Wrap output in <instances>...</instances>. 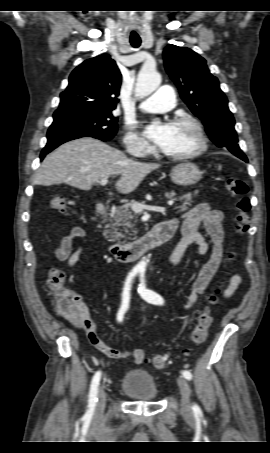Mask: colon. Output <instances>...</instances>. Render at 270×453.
I'll return each mask as SVG.
<instances>
[{"label":"colon","mask_w":270,"mask_h":453,"mask_svg":"<svg viewBox=\"0 0 270 453\" xmlns=\"http://www.w3.org/2000/svg\"><path fill=\"white\" fill-rule=\"evenodd\" d=\"M227 190L237 197V216H236V233L239 235L245 234L249 229L251 202L248 197V186L246 182L240 178H229L226 181ZM50 205L54 210L66 212L71 202L62 196H53ZM236 254L230 253L229 261L234 262ZM65 273L62 269L52 267L48 270L46 277V285L48 290L53 295L54 310L66 317H77L79 315V300L75 294L68 292L65 289ZM221 301V287L217 288L208 297V302L202 312L197 317V325L194 328L191 341L195 345L204 343L208 336L209 327L212 323V311ZM152 365L157 369H165L167 367V357L162 354H154L151 358Z\"/></svg>","instance_id":"obj_1"}]
</instances>
